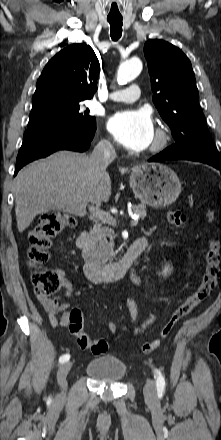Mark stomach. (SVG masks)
<instances>
[{"mask_svg": "<svg viewBox=\"0 0 221 440\" xmlns=\"http://www.w3.org/2000/svg\"><path fill=\"white\" fill-rule=\"evenodd\" d=\"M130 186L142 203L166 207L178 198L181 182L177 174L161 163H143L133 168Z\"/></svg>", "mask_w": 221, "mask_h": 440, "instance_id": "stomach-1", "label": "stomach"}]
</instances>
